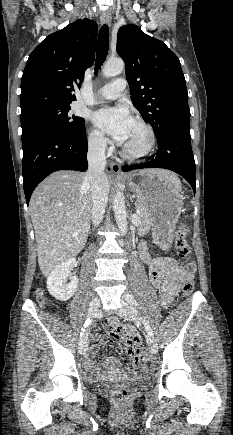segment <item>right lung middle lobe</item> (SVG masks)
<instances>
[{
  "label": "right lung middle lobe",
  "mask_w": 233,
  "mask_h": 435,
  "mask_svg": "<svg viewBox=\"0 0 233 435\" xmlns=\"http://www.w3.org/2000/svg\"><path fill=\"white\" fill-rule=\"evenodd\" d=\"M70 105L46 107L21 116L22 139L44 131L77 136L85 128L84 119L69 113Z\"/></svg>",
  "instance_id": "dd1d6c3e"
}]
</instances>
